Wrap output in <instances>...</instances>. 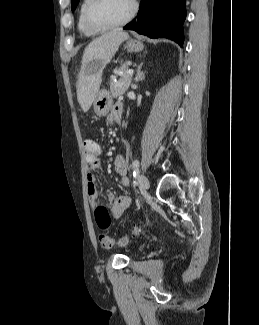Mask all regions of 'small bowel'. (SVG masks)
Here are the masks:
<instances>
[{
	"label": "small bowel",
	"instance_id": "obj_1",
	"mask_svg": "<svg viewBox=\"0 0 259 325\" xmlns=\"http://www.w3.org/2000/svg\"><path fill=\"white\" fill-rule=\"evenodd\" d=\"M122 112L123 105L120 102L115 103L108 116V122H120ZM100 154L101 148L98 145L97 156L95 158H86L88 164L87 190L91 202H95L98 198L95 173L101 169V162L99 159ZM114 170L120 176V184L123 187L129 186L130 180L127 176V164L125 158L122 155H117L115 157ZM106 199L111 203V214L113 217L120 216L129 207L131 203V199L128 195H116L111 191L106 193Z\"/></svg>",
	"mask_w": 259,
	"mask_h": 325
}]
</instances>
